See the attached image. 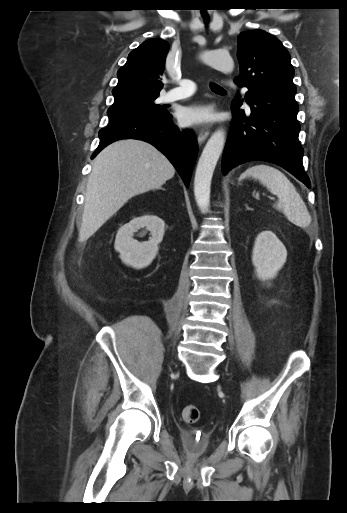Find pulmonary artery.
Wrapping results in <instances>:
<instances>
[{
    "label": "pulmonary artery",
    "mask_w": 347,
    "mask_h": 513,
    "mask_svg": "<svg viewBox=\"0 0 347 513\" xmlns=\"http://www.w3.org/2000/svg\"><path fill=\"white\" fill-rule=\"evenodd\" d=\"M196 90V85L193 81L182 79L179 81V86L168 92L166 101H175L191 96Z\"/></svg>",
    "instance_id": "obj_1"
}]
</instances>
